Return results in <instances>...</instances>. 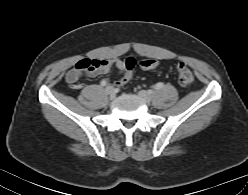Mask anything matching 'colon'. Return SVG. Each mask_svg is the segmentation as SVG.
<instances>
[{
  "mask_svg": "<svg viewBox=\"0 0 248 195\" xmlns=\"http://www.w3.org/2000/svg\"><path fill=\"white\" fill-rule=\"evenodd\" d=\"M91 61L92 60L89 59L79 61L72 69H70L66 76L68 84L74 85L81 79L84 74H87L91 69ZM139 65L143 70H152L159 65V62L155 59H144L140 61ZM124 66L125 74L120 80L121 85H124L130 81L132 77V72L136 66V60L132 57L126 58L124 60ZM177 76L178 82L182 87H189L193 84V73L191 69L184 63L178 64Z\"/></svg>",
  "mask_w": 248,
  "mask_h": 195,
  "instance_id": "1",
  "label": "colon"
}]
</instances>
